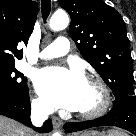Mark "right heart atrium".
Here are the masks:
<instances>
[{"label": "right heart atrium", "instance_id": "right-heart-atrium-1", "mask_svg": "<svg viewBox=\"0 0 136 136\" xmlns=\"http://www.w3.org/2000/svg\"><path fill=\"white\" fill-rule=\"evenodd\" d=\"M32 107L39 113H47L49 111V106L41 98H34L32 100Z\"/></svg>", "mask_w": 136, "mask_h": 136}]
</instances>
